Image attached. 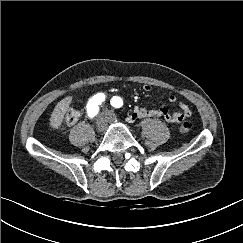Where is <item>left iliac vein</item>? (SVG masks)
<instances>
[{
  "label": "left iliac vein",
  "mask_w": 243,
  "mask_h": 243,
  "mask_svg": "<svg viewBox=\"0 0 243 243\" xmlns=\"http://www.w3.org/2000/svg\"><path fill=\"white\" fill-rule=\"evenodd\" d=\"M105 116L107 118V121L109 122H114L117 119L115 114L111 111H105Z\"/></svg>",
  "instance_id": "obj_1"
}]
</instances>
